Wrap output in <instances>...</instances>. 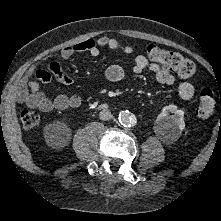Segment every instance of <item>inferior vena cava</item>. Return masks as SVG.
Here are the masks:
<instances>
[{"label":"inferior vena cava","mask_w":221,"mask_h":221,"mask_svg":"<svg viewBox=\"0 0 221 221\" xmlns=\"http://www.w3.org/2000/svg\"><path fill=\"white\" fill-rule=\"evenodd\" d=\"M99 118L101 120L107 121V120H110L112 118V114L109 110H102L99 113Z\"/></svg>","instance_id":"obj_1"}]
</instances>
